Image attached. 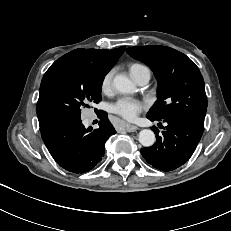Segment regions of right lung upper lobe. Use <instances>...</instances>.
<instances>
[{"mask_svg":"<svg viewBox=\"0 0 231 231\" xmlns=\"http://www.w3.org/2000/svg\"><path fill=\"white\" fill-rule=\"evenodd\" d=\"M125 50V47H120L118 49H113V50H101V49H76L73 50L61 58H59L57 61H55L52 66L57 64L58 62L69 58V57H78L82 58L84 60H87L90 62L92 65H95L99 68L108 70L116 64L118 61L119 57L123 54ZM36 112L39 120V125H40V131L45 130L46 128L50 127L51 125L54 124L45 114L43 111L40 101L38 100L37 107H36Z\"/></svg>","mask_w":231,"mask_h":231,"instance_id":"obj_1","label":"right lung upper lobe"}]
</instances>
